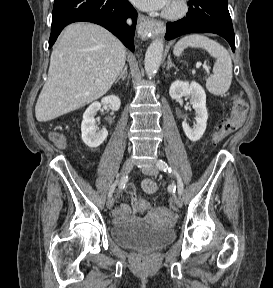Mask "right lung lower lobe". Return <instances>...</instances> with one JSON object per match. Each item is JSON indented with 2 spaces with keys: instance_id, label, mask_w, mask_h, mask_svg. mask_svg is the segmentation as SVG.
<instances>
[{
  "instance_id": "98d812e1",
  "label": "right lung lower lobe",
  "mask_w": 273,
  "mask_h": 288,
  "mask_svg": "<svg viewBox=\"0 0 273 288\" xmlns=\"http://www.w3.org/2000/svg\"><path fill=\"white\" fill-rule=\"evenodd\" d=\"M127 17L136 25L137 12L128 0H54L49 48L66 25L88 21L105 27L134 51L135 27L126 25Z\"/></svg>"
}]
</instances>
